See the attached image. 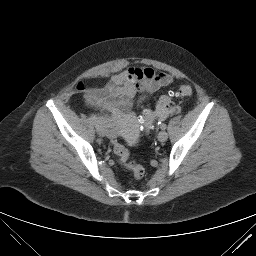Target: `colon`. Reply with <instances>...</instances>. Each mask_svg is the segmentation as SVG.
<instances>
[{"label": "colon", "instance_id": "1", "mask_svg": "<svg viewBox=\"0 0 256 256\" xmlns=\"http://www.w3.org/2000/svg\"><path fill=\"white\" fill-rule=\"evenodd\" d=\"M192 92V87L190 85L184 84L179 86L175 91H171L168 94L159 97L156 102L155 109H146L144 114L140 117V122L144 125L145 131L148 132L151 127V120L154 112H156L158 109L174 108L175 100L189 97L192 95ZM113 150L121 167L131 171L136 180L143 178L145 173L144 168L140 164L129 159V152L121 143L114 141Z\"/></svg>", "mask_w": 256, "mask_h": 256}]
</instances>
